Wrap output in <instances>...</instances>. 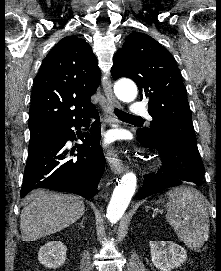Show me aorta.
Instances as JSON below:
<instances>
[{
  "instance_id": "obj_1",
  "label": "aorta",
  "mask_w": 221,
  "mask_h": 271,
  "mask_svg": "<svg viewBox=\"0 0 221 271\" xmlns=\"http://www.w3.org/2000/svg\"><path fill=\"white\" fill-rule=\"evenodd\" d=\"M114 93L123 102H131L137 96V87L131 80H121L114 86ZM137 185L136 175L128 172L122 176L115 187L106 216L111 223H116L127 209Z\"/></svg>"
}]
</instances>
